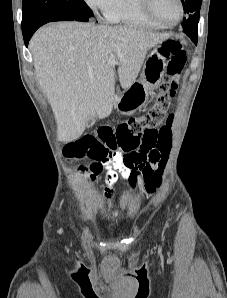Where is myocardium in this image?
Instances as JSON below:
<instances>
[{"instance_id":"myocardium-1","label":"myocardium","mask_w":227,"mask_h":298,"mask_svg":"<svg viewBox=\"0 0 227 298\" xmlns=\"http://www.w3.org/2000/svg\"><path fill=\"white\" fill-rule=\"evenodd\" d=\"M141 1V8L143 13L147 18H149L154 23L158 24L161 27H173L180 23L184 16V4L182 0H177L179 5V17L173 23H165L161 19H159L153 10V0H140Z\"/></svg>"}]
</instances>
